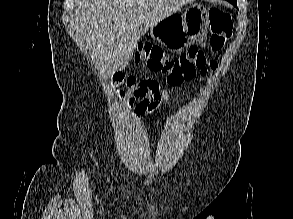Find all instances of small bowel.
<instances>
[{
    "label": "small bowel",
    "instance_id": "c3829d8e",
    "mask_svg": "<svg viewBox=\"0 0 293 219\" xmlns=\"http://www.w3.org/2000/svg\"><path fill=\"white\" fill-rule=\"evenodd\" d=\"M134 96L139 98L135 105L134 114L141 117L146 113H152L162 101L169 100V94L161 90L159 83L153 79H144L134 89Z\"/></svg>",
    "mask_w": 293,
    "mask_h": 219
}]
</instances>
